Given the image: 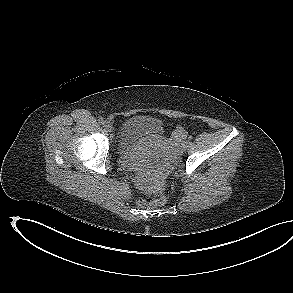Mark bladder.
Wrapping results in <instances>:
<instances>
[{
	"label": "bladder",
	"mask_w": 293,
	"mask_h": 293,
	"mask_svg": "<svg viewBox=\"0 0 293 293\" xmlns=\"http://www.w3.org/2000/svg\"><path fill=\"white\" fill-rule=\"evenodd\" d=\"M163 132V124L159 119L147 115L132 116L126 119L120 128L116 155L124 159L141 142L147 139H161Z\"/></svg>",
	"instance_id": "obj_1"
}]
</instances>
